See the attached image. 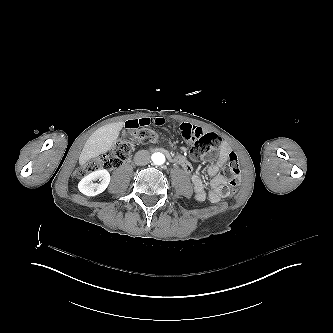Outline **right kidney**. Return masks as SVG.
<instances>
[{
    "label": "right kidney",
    "instance_id": "right-kidney-1",
    "mask_svg": "<svg viewBox=\"0 0 333 333\" xmlns=\"http://www.w3.org/2000/svg\"><path fill=\"white\" fill-rule=\"evenodd\" d=\"M100 179L101 183H93V181ZM110 183V174L107 170H97L85 176L78 183V189L86 196H96L102 193Z\"/></svg>",
    "mask_w": 333,
    "mask_h": 333
}]
</instances>
